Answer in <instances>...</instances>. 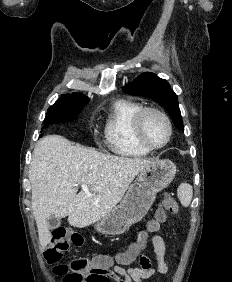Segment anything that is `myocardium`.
<instances>
[{"instance_id": "obj_1", "label": "myocardium", "mask_w": 232, "mask_h": 282, "mask_svg": "<svg viewBox=\"0 0 232 282\" xmlns=\"http://www.w3.org/2000/svg\"><path fill=\"white\" fill-rule=\"evenodd\" d=\"M149 114H156L160 116L168 129V135L166 140L160 145H153L151 144L144 136L143 133V125L147 115ZM133 133L136 141L144 148L149 151L159 150L167 146L172 138L173 135V126L171 123L170 118L168 115L159 108L156 107H142L134 117L133 120Z\"/></svg>"}]
</instances>
